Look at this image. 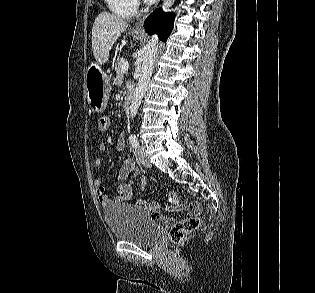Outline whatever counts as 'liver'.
Segmentation results:
<instances>
[{"label":"liver","instance_id":"1","mask_svg":"<svg viewBox=\"0 0 315 293\" xmlns=\"http://www.w3.org/2000/svg\"><path fill=\"white\" fill-rule=\"evenodd\" d=\"M128 27V23L118 16L108 12H101L92 27V50L94 57L106 62L109 52Z\"/></svg>","mask_w":315,"mask_h":293}]
</instances>
